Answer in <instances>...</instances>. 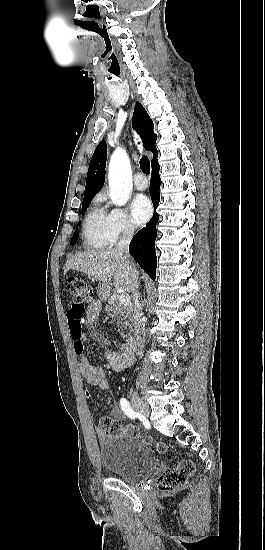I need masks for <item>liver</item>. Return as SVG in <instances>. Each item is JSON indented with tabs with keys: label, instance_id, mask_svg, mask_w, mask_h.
<instances>
[{
	"label": "liver",
	"instance_id": "obj_1",
	"mask_svg": "<svg viewBox=\"0 0 265 550\" xmlns=\"http://www.w3.org/2000/svg\"><path fill=\"white\" fill-rule=\"evenodd\" d=\"M137 267L131 260L129 264L116 249L89 251L76 254L66 261L64 273L73 269L94 277L101 282L100 292L108 293L109 282L113 278L115 290L131 292V267Z\"/></svg>",
	"mask_w": 265,
	"mask_h": 550
}]
</instances>
